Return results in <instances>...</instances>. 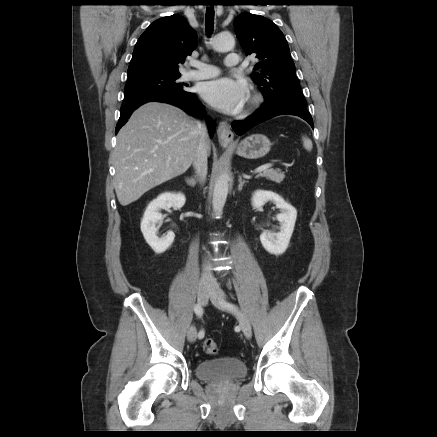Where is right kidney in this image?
<instances>
[{
    "mask_svg": "<svg viewBox=\"0 0 437 437\" xmlns=\"http://www.w3.org/2000/svg\"><path fill=\"white\" fill-rule=\"evenodd\" d=\"M186 198L182 193H170L166 192L160 194L156 199L149 203L147 206L142 221L141 232L148 243V245L157 254L165 252L173 243L175 234L172 231L161 238L157 236L156 225L163 220V216L160 213L161 209L181 208L184 206Z\"/></svg>",
    "mask_w": 437,
    "mask_h": 437,
    "instance_id": "right-kidney-1",
    "label": "right kidney"
}]
</instances>
